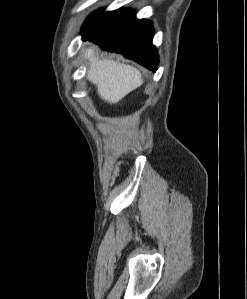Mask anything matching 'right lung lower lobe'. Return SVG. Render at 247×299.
Returning a JSON list of instances; mask_svg holds the SVG:
<instances>
[{
    "label": "right lung lower lobe",
    "instance_id": "obj_1",
    "mask_svg": "<svg viewBox=\"0 0 247 299\" xmlns=\"http://www.w3.org/2000/svg\"><path fill=\"white\" fill-rule=\"evenodd\" d=\"M154 28L145 19H137L135 11L128 12L120 21L83 40L94 42L108 51L122 54L155 72L159 63L152 39Z\"/></svg>",
    "mask_w": 247,
    "mask_h": 299
}]
</instances>
